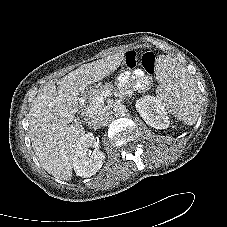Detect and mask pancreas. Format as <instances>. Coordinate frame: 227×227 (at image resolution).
Segmentation results:
<instances>
[{"label":"pancreas","mask_w":227,"mask_h":227,"mask_svg":"<svg viewBox=\"0 0 227 227\" xmlns=\"http://www.w3.org/2000/svg\"><path fill=\"white\" fill-rule=\"evenodd\" d=\"M113 89H114V86L112 83H106L105 85L100 86L98 89H90L89 96H88V104L86 106L88 113H91L90 108L93 106V103L97 96H99L103 92L111 91ZM102 106H103V104L100 107L96 108L94 111H92V113H96V112L100 111L102 109Z\"/></svg>","instance_id":"1"}]
</instances>
